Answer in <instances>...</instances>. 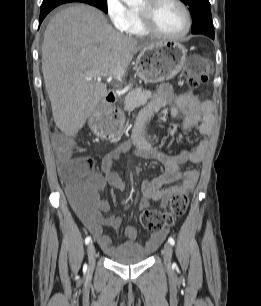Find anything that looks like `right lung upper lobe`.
<instances>
[{
  "mask_svg": "<svg viewBox=\"0 0 261 306\" xmlns=\"http://www.w3.org/2000/svg\"><path fill=\"white\" fill-rule=\"evenodd\" d=\"M64 1H71V2H83V0H64ZM84 3V2H83Z\"/></svg>",
  "mask_w": 261,
  "mask_h": 306,
  "instance_id": "1",
  "label": "right lung upper lobe"
}]
</instances>
